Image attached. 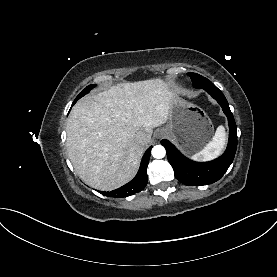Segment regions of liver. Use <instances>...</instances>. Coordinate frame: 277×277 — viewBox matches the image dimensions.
Masks as SVG:
<instances>
[{
  "label": "liver",
  "mask_w": 277,
  "mask_h": 277,
  "mask_svg": "<svg viewBox=\"0 0 277 277\" xmlns=\"http://www.w3.org/2000/svg\"><path fill=\"white\" fill-rule=\"evenodd\" d=\"M177 96L161 79L121 83L96 95L85 96L67 121L66 146L79 177L102 191L121 187L136 174L153 128L168 120ZM145 132V144L135 134Z\"/></svg>",
  "instance_id": "6515ba94"
}]
</instances>
